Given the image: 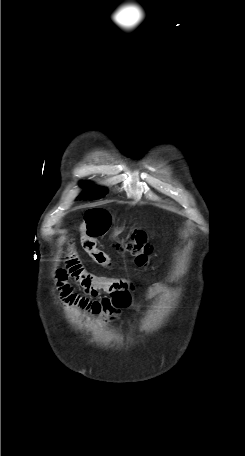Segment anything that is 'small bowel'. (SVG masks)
I'll use <instances>...</instances> for the list:
<instances>
[{
    "mask_svg": "<svg viewBox=\"0 0 245 456\" xmlns=\"http://www.w3.org/2000/svg\"><path fill=\"white\" fill-rule=\"evenodd\" d=\"M110 225L111 215L102 208L87 211L78 225L83 248L94 261L105 268H110L111 260L107 254L97 248L96 238L106 234ZM68 275L77 279L90 298L79 296L73 291L67 283ZM57 285L66 305L90 315H100L103 320L115 318L120 310L132 304L133 285L129 280L88 273L82 268L72 245L68 248L65 268L57 272ZM162 289L161 286H152L146 291L144 298H151ZM99 296L102 297L98 300L91 299Z\"/></svg>",
    "mask_w": 245,
    "mask_h": 456,
    "instance_id": "1",
    "label": "small bowel"
}]
</instances>
